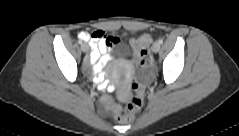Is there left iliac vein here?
<instances>
[{
	"mask_svg": "<svg viewBox=\"0 0 239 136\" xmlns=\"http://www.w3.org/2000/svg\"><path fill=\"white\" fill-rule=\"evenodd\" d=\"M159 50H160V43H159V42H155V43L152 45V51H153L154 53H157Z\"/></svg>",
	"mask_w": 239,
	"mask_h": 136,
	"instance_id": "1",
	"label": "left iliac vein"
}]
</instances>
